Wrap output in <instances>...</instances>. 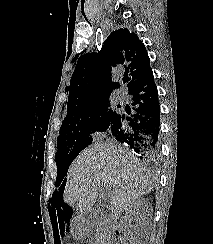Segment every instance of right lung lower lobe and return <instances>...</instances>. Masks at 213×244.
I'll return each mask as SVG.
<instances>
[{"instance_id":"obj_1","label":"right lung lower lobe","mask_w":213,"mask_h":244,"mask_svg":"<svg viewBox=\"0 0 213 244\" xmlns=\"http://www.w3.org/2000/svg\"><path fill=\"white\" fill-rule=\"evenodd\" d=\"M129 94L133 96L134 113L116 114L108 130L140 159L154 161L160 149V107L151 69Z\"/></svg>"}]
</instances>
